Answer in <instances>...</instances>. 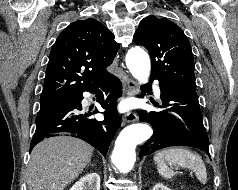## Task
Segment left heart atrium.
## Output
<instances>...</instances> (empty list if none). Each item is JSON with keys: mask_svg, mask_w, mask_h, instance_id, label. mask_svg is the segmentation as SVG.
Returning a JSON list of instances; mask_svg holds the SVG:
<instances>
[{"mask_svg": "<svg viewBox=\"0 0 238 190\" xmlns=\"http://www.w3.org/2000/svg\"><path fill=\"white\" fill-rule=\"evenodd\" d=\"M127 109V105L126 104H122L121 105V110H126Z\"/></svg>", "mask_w": 238, "mask_h": 190, "instance_id": "39dd6f15", "label": "left heart atrium"}]
</instances>
